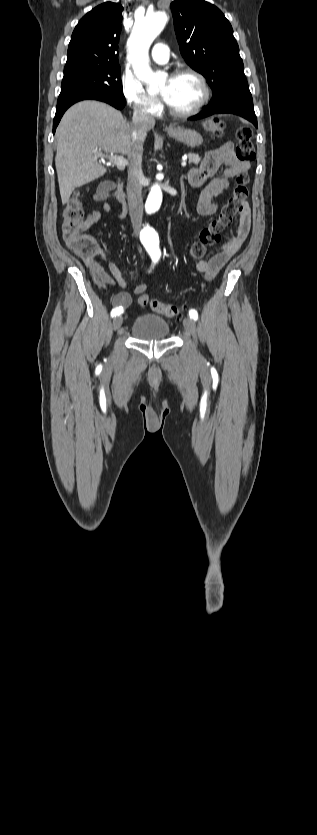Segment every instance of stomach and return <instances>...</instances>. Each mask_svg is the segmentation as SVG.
<instances>
[{"label":"stomach","mask_w":317,"mask_h":835,"mask_svg":"<svg viewBox=\"0 0 317 835\" xmlns=\"http://www.w3.org/2000/svg\"><path fill=\"white\" fill-rule=\"evenodd\" d=\"M167 133L173 139L192 148L198 147L203 143L202 136L195 130L172 126L167 129Z\"/></svg>","instance_id":"obj_1"}]
</instances>
